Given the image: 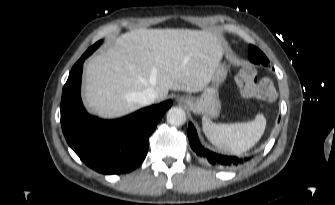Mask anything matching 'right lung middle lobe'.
Segmentation results:
<instances>
[{
	"mask_svg": "<svg viewBox=\"0 0 335 205\" xmlns=\"http://www.w3.org/2000/svg\"><path fill=\"white\" fill-rule=\"evenodd\" d=\"M101 43H102V41H98L96 44L91 46L84 54H87L89 56L101 45Z\"/></svg>",
	"mask_w": 335,
	"mask_h": 205,
	"instance_id": "dd1d6c3e",
	"label": "right lung middle lobe"
}]
</instances>
